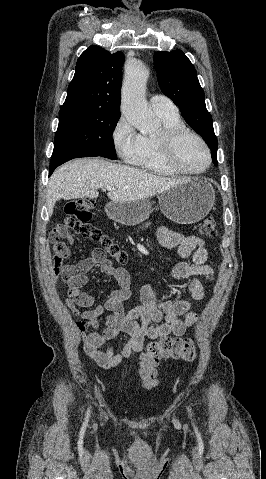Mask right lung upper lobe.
Returning a JSON list of instances; mask_svg holds the SVG:
<instances>
[{"label": "right lung upper lobe", "instance_id": "1", "mask_svg": "<svg viewBox=\"0 0 266 479\" xmlns=\"http://www.w3.org/2000/svg\"><path fill=\"white\" fill-rule=\"evenodd\" d=\"M122 52L114 54L92 45L77 60L75 75L60 115L120 114Z\"/></svg>", "mask_w": 266, "mask_h": 479}]
</instances>
